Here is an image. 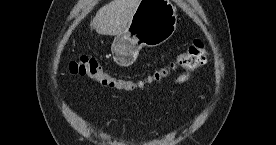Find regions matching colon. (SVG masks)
<instances>
[{
    "mask_svg": "<svg viewBox=\"0 0 276 145\" xmlns=\"http://www.w3.org/2000/svg\"><path fill=\"white\" fill-rule=\"evenodd\" d=\"M207 50L200 39H195L188 49L181 53L169 66L161 68L153 74L152 81H160L167 78L176 70L191 71L203 66L207 61ZM72 74L90 79L102 86L131 91L135 85L106 70L96 59L90 57H77L69 64Z\"/></svg>",
    "mask_w": 276,
    "mask_h": 145,
    "instance_id": "obj_1",
    "label": "colon"
}]
</instances>
